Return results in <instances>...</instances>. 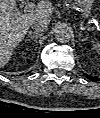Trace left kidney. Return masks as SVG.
I'll use <instances>...</instances> for the list:
<instances>
[{"instance_id": "1", "label": "left kidney", "mask_w": 100, "mask_h": 118, "mask_svg": "<svg viewBox=\"0 0 100 118\" xmlns=\"http://www.w3.org/2000/svg\"><path fill=\"white\" fill-rule=\"evenodd\" d=\"M95 48H98V45H95Z\"/></svg>"}]
</instances>
